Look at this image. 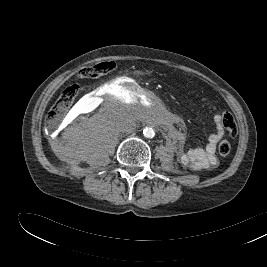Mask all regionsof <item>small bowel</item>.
<instances>
[{
  "label": "small bowel",
  "mask_w": 267,
  "mask_h": 267,
  "mask_svg": "<svg viewBox=\"0 0 267 267\" xmlns=\"http://www.w3.org/2000/svg\"><path fill=\"white\" fill-rule=\"evenodd\" d=\"M213 111V120L216 129L215 132L209 136L206 146L204 148L180 149L178 152L181 163L191 169H210L218 164L216 148L228 131L223 124L224 113L216 111L214 107ZM170 132L172 136H178V140H181L180 133L177 130L171 129Z\"/></svg>",
  "instance_id": "obj_1"
}]
</instances>
